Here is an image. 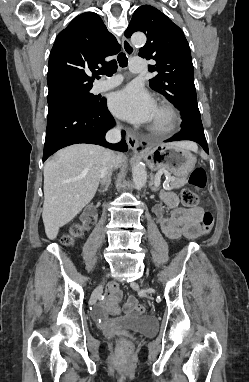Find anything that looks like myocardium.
<instances>
[{"instance_id": "myocardium-1", "label": "myocardium", "mask_w": 249, "mask_h": 382, "mask_svg": "<svg viewBox=\"0 0 249 382\" xmlns=\"http://www.w3.org/2000/svg\"><path fill=\"white\" fill-rule=\"evenodd\" d=\"M157 108L164 112L166 115V121L161 126L149 125L148 131L155 136H167L172 133L178 126L179 116L175 108L167 102H160L157 105Z\"/></svg>"}]
</instances>
